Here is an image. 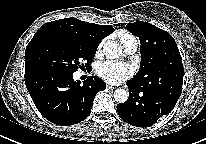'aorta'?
Masks as SVG:
<instances>
[{
    "label": "aorta",
    "instance_id": "aorta-1",
    "mask_svg": "<svg viewBox=\"0 0 206 144\" xmlns=\"http://www.w3.org/2000/svg\"><path fill=\"white\" fill-rule=\"evenodd\" d=\"M103 52L110 59L119 58L123 55L122 47L113 41L104 44ZM129 98V93L125 89H117L114 92V99L117 103H125Z\"/></svg>",
    "mask_w": 206,
    "mask_h": 144
}]
</instances>
